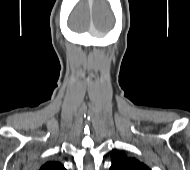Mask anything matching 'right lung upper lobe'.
I'll return each instance as SVG.
<instances>
[{
    "instance_id": "cb5924a9",
    "label": "right lung upper lobe",
    "mask_w": 190,
    "mask_h": 170,
    "mask_svg": "<svg viewBox=\"0 0 190 170\" xmlns=\"http://www.w3.org/2000/svg\"><path fill=\"white\" fill-rule=\"evenodd\" d=\"M39 170H66L64 166L57 161L46 162Z\"/></svg>"
}]
</instances>
